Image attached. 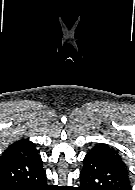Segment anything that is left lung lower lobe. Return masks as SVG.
<instances>
[{
    "mask_svg": "<svg viewBox=\"0 0 135 190\" xmlns=\"http://www.w3.org/2000/svg\"><path fill=\"white\" fill-rule=\"evenodd\" d=\"M83 162L79 190H131L128 173L111 161L88 153Z\"/></svg>",
    "mask_w": 135,
    "mask_h": 190,
    "instance_id": "left-lung-lower-lobe-1",
    "label": "left lung lower lobe"
}]
</instances>
